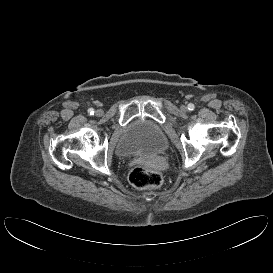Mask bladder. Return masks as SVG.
<instances>
[{
	"label": "bladder",
	"instance_id": "obj_1",
	"mask_svg": "<svg viewBox=\"0 0 273 273\" xmlns=\"http://www.w3.org/2000/svg\"><path fill=\"white\" fill-rule=\"evenodd\" d=\"M167 145L168 140L161 126L146 119H136L121 131L114 145V153L119 157L156 155L164 152Z\"/></svg>",
	"mask_w": 273,
	"mask_h": 273
}]
</instances>
